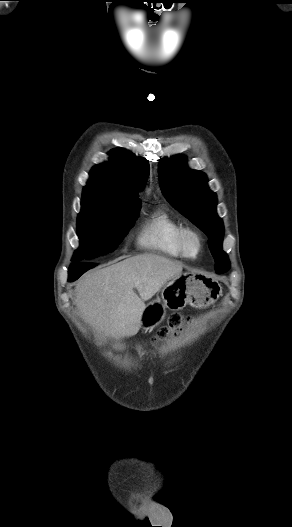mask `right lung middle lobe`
I'll return each instance as SVG.
<instances>
[{"instance_id": "right-lung-middle-lobe-1", "label": "right lung middle lobe", "mask_w": 292, "mask_h": 527, "mask_svg": "<svg viewBox=\"0 0 292 527\" xmlns=\"http://www.w3.org/2000/svg\"><path fill=\"white\" fill-rule=\"evenodd\" d=\"M140 203H113L83 194L77 220L80 248L72 261L89 260L114 251L133 226Z\"/></svg>"}]
</instances>
